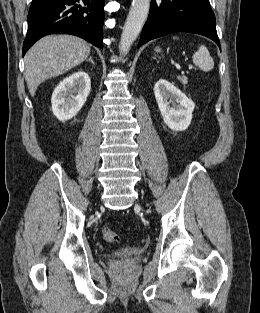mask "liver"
Segmentation results:
<instances>
[{
	"instance_id": "obj_1",
	"label": "liver",
	"mask_w": 260,
	"mask_h": 313,
	"mask_svg": "<svg viewBox=\"0 0 260 313\" xmlns=\"http://www.w3.org/2000/svg\"><path fill=\"white\" fill-rule=\"evenodd\" d=\"M90 45L73 35H50L25 55V79L31 96L45 80L61 75L87 59Z\"/></svg>"
}]
</instances>
